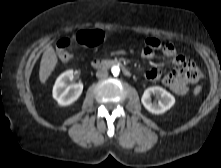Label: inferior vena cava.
<instances>
[{
	"mask_svg": "<svg viewBox=\"0 0 221 168\" xmlns=\"http://www.w3.org/2000/svg\"><path fill=\"white\" fill-rule=\"evenodd\" d=\"M108 76V71L106 69H99L96 72V77L99 79L106 78Z\"/></svg>",
	"mask_w": 221,
	"mask_h": 168,
	"instance_id": "inferior-vena-cava-1",
	"label": "inferior vena cava"
}]
</instances>
